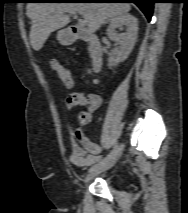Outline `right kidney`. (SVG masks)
I'll return each mask as SVG.
<instances>
[{
    "mask_svg": "<svg viewBox=\"0 0 188 213\" xmlns=\"http://www.w3.org/2000/svg\"><path fill=\"white\" fill-rule=\"evenodd\" d=\"M126 27V32L118 34L117 28ZM108 37L119 45L116 58L109 60V67H115L125 61L132 52L138 35V20L130 14H120L111 19L107 29Z\"/></svg>",
    "mask_w": 188,
    "mask_h": 213,
    "instance_id": "right-kidney-1",
    "label": "right kidney"
}]
</instances>
